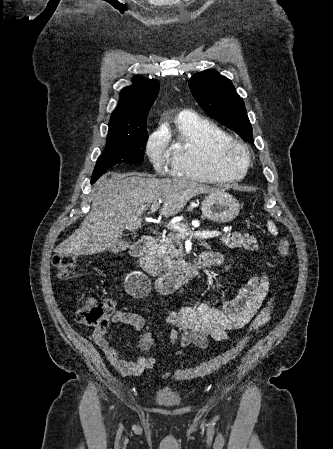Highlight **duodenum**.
I'll return each mask as SVG.
<instances>
[{"label": "duodenum", "instance_id": "1", "mask_svg": "<svg viewBox=\"0 0 333 449\" xmlns=\"http://www.w3.org/2000/svg\"><path fill=\"white\" fill-rule=\"evenodd\" d=\"M152 236L141 238L131 247V255L138 259L140 266L150 275L155 289L160 293H172L199 274L212 263L211 253H202L195 261L187 263L171 272L162 273L154 263L152 254L156 247Z\"/></svg>", "mask_w": 333, "mask_h": 449}]
</instances>
